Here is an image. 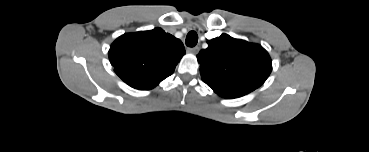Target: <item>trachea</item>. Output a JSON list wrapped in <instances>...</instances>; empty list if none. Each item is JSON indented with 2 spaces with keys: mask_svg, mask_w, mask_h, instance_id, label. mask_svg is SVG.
Segmentation results:
<instances>
[{
  "mask_svg": "<svg viewBox=\"0 0 369 152\" xmlns=\"http://www.w3.org/2000/svg\"><path fill=\"white\" fill-rule=\"evenodd\" d=\"M198 42V35L195 31H190L186 37V45L188 47H194Z\"/></svg>",
  "mask_w": 369,
  "mask_h": 152,
  "instance_id": "3493384b",
  "label": "trachea"
}]
</instances>
